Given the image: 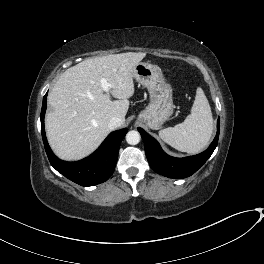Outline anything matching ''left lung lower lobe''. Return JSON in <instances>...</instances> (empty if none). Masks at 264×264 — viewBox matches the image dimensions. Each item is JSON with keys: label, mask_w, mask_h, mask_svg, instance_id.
I'll use <instances>...</instances> for the list:
<instances>
[{"label": "left lung lower lobe", "mask_w": 264, "mask_h": 264, "mask_svg": "<svg viewBox=\"0 0 264 264\" xmlns=\"http://www.w3.org/2000/svg\"><path fill=\"white\" fill-rule=\"evenodd\" d=\"M138 131L144 141L146 156L151 168L160 175L181 179L194 174L215 150L219 137V119L217 121V134L208 149L198 155L186 158H174L167 155L153 137L142 128H138Z\"/></svg>", "instance_id": "0a47b994"}]
</instances>
